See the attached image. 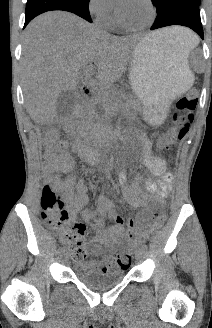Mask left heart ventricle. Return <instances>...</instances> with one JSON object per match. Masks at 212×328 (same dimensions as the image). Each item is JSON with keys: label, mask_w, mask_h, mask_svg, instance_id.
Instances as JSON below:
<instances>
[{"label": "left heart ventricle", "mask_w": 212, "mask_h": 328, "mask_svg": "<svg viewBox=\"0 0 212 328\" xmlns=\"http://www.w3.org/2000/svg\"><path fill=\"white\" fill-rule=\"evenodd\" d=\"M121 15L131 25H143L149 21L151 12L144 0H130L121 9Z\"/></svg>", "instance_id": "obj_1"}]
</instances>
